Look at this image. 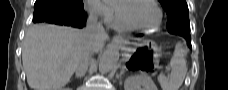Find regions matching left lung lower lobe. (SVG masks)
<instances>
[{"instance_id": "left-lung-lower-lobe-1", "label": "left lung lower lobe", "mask_w": 228, "mask_h": 90, "mask_svg": "<svg viewBox=\"0 0 228 90\" xmlns=\"http://www.w3.org/2000/svg\"><path fill=\"white\" fill-rule=\"evenodd\" d=\"M170 33L172 34H178L182 37H184L187 41H188V46L191 47V36H190V32H181V31H177V30H168Z\"/></svg>"}]
</instances>
